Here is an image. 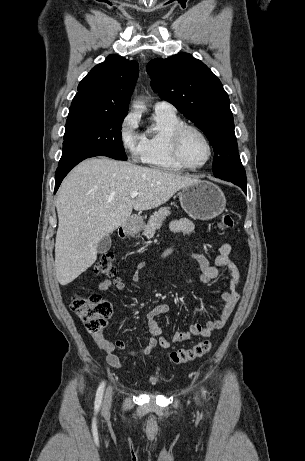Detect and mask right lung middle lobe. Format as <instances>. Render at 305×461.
<instances>
[{
  "instance_id": "obj_1",
  "label": "right lung middle lobe",
  "mask_w": 305,
  "mask_h": 461,
  "mask_svg": "<svg viewBox=\"0 0 305 461\" xmlns=\"http://www.w3.org/2000/svg\"><path fill=\"white\" fill-rule=\"evenodd\" d=\"M125 116L84 109L69 110L59 163L92 156L126 160L121 137Z\"/></svg>"
}]
</instances>
